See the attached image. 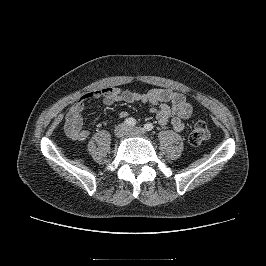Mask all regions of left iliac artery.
Segmentation results:
<instances>
[{
  "mask_svg": "<svg viewBox=\"0 0 266 266\" xmlns=\"http://www.w3.org/2000/svg\"><path fill=\"white\" fill-rule=\"evenodd\" d=\"M153 124L152 123H146L145 125H144V128H145V130L146 131H151L152 129H153Z\"/></svg>",
  "mask_w": 266,
  "mask_h": 266,
  "instance_id": "1",
  "label": "left iliac artery"
}]
</instances>
